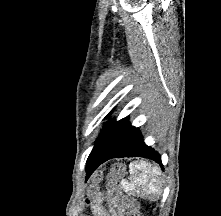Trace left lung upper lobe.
<instances>
[{
	"mask_svg": "<svg viewBox=\"0 0 221 216\" xmlns=\"http://www.w3.org/2000/svg\"><path fill=\"white\" fill-rule=\"evenodd\" d=\"M109 114L107 115V117ZM139 128L130 125L128 117L119 121L113 120L111 123H106L101 131L98 139L95 142L94 149L100 147L110 149L113 152L121 151L131 139H133Z\"/></svg>",
	"mask_w": 221,
	"mask_h": 216,
	"instance_id": "left-lung-upper-lobe-1",
	"label": "left lung upper lobe"
}]
</instances>
